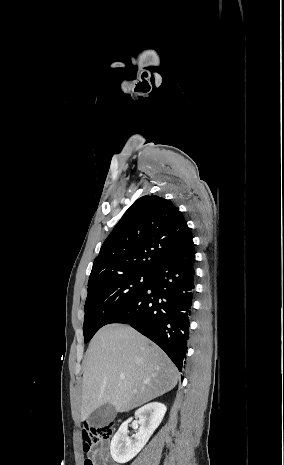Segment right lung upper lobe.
<instances>
[{
    "label": "right lung upper lobe",
    "instance_id": "cb5924a9",
    "mask_svg": "<svg viewBox=\"0 0 284 465\" xmlns=\"http://www.w3.org/2000/svg\"><path fill=\"white\" fill-rule=\"evenodd\" d=\"M192 235L182 213L170 201L146 195L136 200L104 241L95 258L88 288L128 275H152L182 252Z\"/></svg>",
    "mask_w": 284,
    "mask_h": 465
}]
</instances>
